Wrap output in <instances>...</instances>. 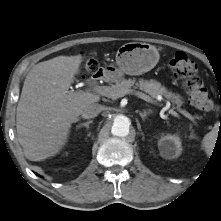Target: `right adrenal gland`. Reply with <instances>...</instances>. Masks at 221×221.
Wrapping results in <instances>:
<instances>
[{
  "mask_svg": "<svg viewBox=\"0 0 221 221\" xmlns=\"http://www.w3.org/2000/svg\"><path fill=\"white\" fill-rule=\"evenodd\" d=\"M92 123V121H87V122H85V123H81V124H79V125H77L76 126V128L77 129H79V128H81V127H86L87 129H89V124H91Z\"/></svg>",
  "mask_w": 221,
  "mask_h": 221,
  "instance_id": "obj_1",
  "label": "right adrenal gland"
}]
</instances>
